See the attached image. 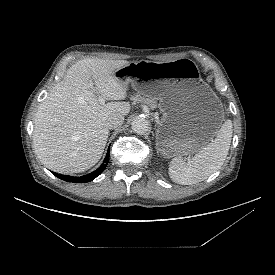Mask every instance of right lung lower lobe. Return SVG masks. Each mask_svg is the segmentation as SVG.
Returning <instances> with one entry per match:
<instances>
[{
  "label": "right lung lower lobe",
  "mask_w": 275,
  "mask_h": 275,
  "mask_svg": "<svg viewBox=\"0 0 275 275\" xmlns=\"http://www.w3.org/2000/svg\"><path fill=\"white\" fill-rule=\"evenodd\" d=\"M108 162H109V149H108V152L104 159L103 164L97 170L93 171L92 173H90L88 175L81 176V177H72V176H67V175H62V174H57V173H53V174L55 176H57L58 178L68 181V182L86 183V182L92 181L98 175H100L103 172V170L106 168Z\"/></svg>",
  "instance_id": "1"
}]
</instances>
